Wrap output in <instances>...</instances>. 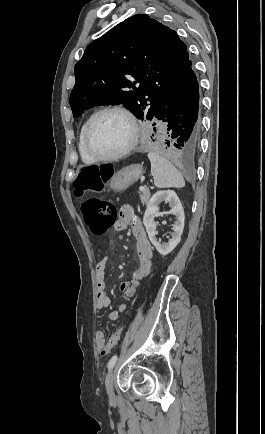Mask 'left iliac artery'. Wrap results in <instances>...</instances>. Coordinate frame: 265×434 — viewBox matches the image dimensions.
Masks as SVG:
<instances>
[{
    "mask_svg": "<svg viewBox=\"0 0 265 434\" xmlns=\"http://www.w3.org/2000/svg\"><path fill=\"white\" fill-rule=\"evenodd\" d=\"M116 361H117V355H114V356L109 360V362H108V364H107V367H108L109 370H111V369L114 367Z\"/></svg>",
    "mask_w": 265,
    "mask_h": 434,
    "instance_id": "44dca946",
    "label": "left iliac artery"
}]
</instances>
